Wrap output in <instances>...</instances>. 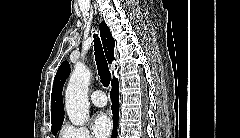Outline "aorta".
I'll return each mask as SVG.
<instances>
[{"instance_id": "762f6f07", "label": "aorta", "mask_w": 240, "mask_h": 138, "mask_svg": "<svg viewBox=\"0 0 240 138\" xmlns=\"http://www.w3.org/2000/svg\"><path fill=\"white\" fill-rule=\"evenodd\" d=\"M91 72L82 65H76L71 74L66 93V111L72 124L83 125L89 118L88 87Z\"/></svg>"}]
</instances>
